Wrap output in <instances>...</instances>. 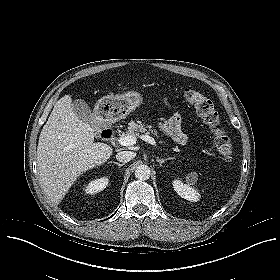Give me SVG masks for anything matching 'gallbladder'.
I'll return each instance as SVG.
<instances>
[{"label": "gallbladder", "mask_w": 280, "mask_h": 280, "mask_svg": "<svg viewBox=\"0 0 280 280\" xmlns=\"http://www.w3.org/2000/svg\"><path fill=\"white\" fill-rule=\"evenodd\" d=\"M72 110L76 116L83 122L89 124L93 130L96 137L100 135L101 128L95 122L94 114L92 109L83 99H76L72 102Z\"/></svg>", "instance_id": "gallbladder-1"}]
</instances>
